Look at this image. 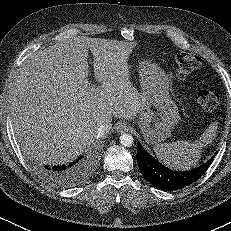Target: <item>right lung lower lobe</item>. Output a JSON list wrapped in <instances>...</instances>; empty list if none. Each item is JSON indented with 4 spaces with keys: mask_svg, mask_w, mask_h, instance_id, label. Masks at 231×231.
I'll return each mask as SVG.
<instances>
[{
    "mask_svg": "<svg viewBox=\"0 0 231 231\" xmlns=\"http://www.w3.org/2000/svg\"><path fill=\"white\" fill-rule=\"evenodd\" d=\"M97 153L91 152L77 160L63 165L39 166L40 175L48 182L59 187H73L80 184L92 171Z\"/></svg>",
    "mask_w": 231,
    "mask_h": 231,
    "instance_id": "right-lung-lower-lobe-1",
    "label": "right lung lower lobe"
}]
</instances>
